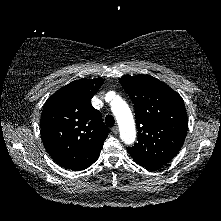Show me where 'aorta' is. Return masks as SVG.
<instances>
[{
    "label": "aorta",
    "instance_id": "762f6f07",
    "mask_svg": "<svg viewBox=\"0 0 221 221\" xmlns=\"http://www.w3.org/2000/svg\"><path fill=\"white\" fill-rule=\"evenodd\" d=\"M111 110L117 120L120 137L125 144H132L136 138L135 122L128 104L120 97H114Z\"/></svg>",
    "mask_w": 221,
    "mask_h": 221
}]
</instances>
